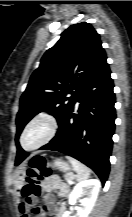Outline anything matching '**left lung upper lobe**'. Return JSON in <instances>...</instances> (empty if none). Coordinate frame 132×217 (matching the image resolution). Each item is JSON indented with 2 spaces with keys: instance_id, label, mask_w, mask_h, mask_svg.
Here are the masks:
<instances>
[{
  "instance_id": "5c2ea615",
  "label": "left lung upper lobe",
  "mask_w": 132,
  "mask_h": 217,
  "mask_svg": "<svg viewBox=\"0 0 132 217\" xmlns=\"http://www.w3.org/2000/svg\"><path fill=\"white\" fill-rule=\"evenodd\" d=\"M101 44L95 29L82 22L66 29L46 51L21 96L16 141L27 122L39 112H51L60 122L78 93L106 61Z\"/></svg>"
}]
</instances>
